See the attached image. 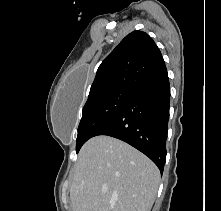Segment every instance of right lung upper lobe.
Instances as JSON below:
<instances>
[{"label": "right lung upper lobe", "instance_id": "cb5924a9", "mask_svg": "<svg viewBox=\"0 0 221 211\" xmlns=\"http://www.w3.org/2000/svg\"><path fill=\"white\" fill-rule=\"evenodd\" d=\"M165 74L162 54L152 38L145 32L133 31L99 66L88 99L117 88L133 89Z\"/></svg>", "mask_w": 221, "mask_h": 211}]
</instances>
